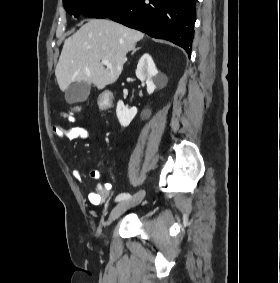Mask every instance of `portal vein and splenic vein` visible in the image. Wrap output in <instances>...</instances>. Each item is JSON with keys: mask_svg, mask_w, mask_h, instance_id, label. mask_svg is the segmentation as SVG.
I'll list each match as a JSON object with an SVG mask.
<instances>
[{"mask_svg": "<svg viewBox=\"0 0 280 283\" xmlns=\"http://www.w3.org/2000/svg\"><path fill=\"white\" fill-rule=\"evenodd\" d=\"M102 64L105 65V66H107V67H109V68L112 67V65L109 63L108 60H102Z\"/></svg>", "mask_w": 280, "mask_h": 283, "instance_id": "portal-vein-and-splenic-vein-1", "label": "portal vein and splenic vein"}]
</instances>
